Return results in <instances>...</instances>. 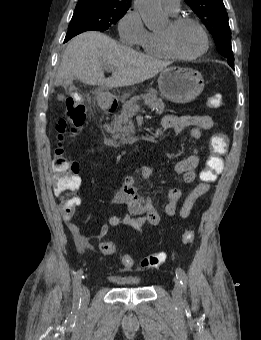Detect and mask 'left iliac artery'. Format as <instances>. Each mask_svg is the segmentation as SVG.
Here are the masks:
<instances>
[{"label":"left iliac artery","instance_id":"left-iliac-artery-1","mask_svg":"<svg viewBox=\"0 0 261 340\" xmlns=\"http://www.w3.org/2000/svg\"><path fill=\"white\" fill-rule=\"evenodd\" d=\"M176 276L179 279V281H180V283L183 287L184 292H186L188 279H187V275H186L185 271L180 267L176 268Z\"/></svg>","mask_w":261,"mask_h":340}]
</instances>
